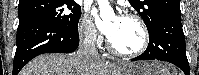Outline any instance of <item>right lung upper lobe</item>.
<instances>
[{"mask_svg": "<svg viewBox=\"0 0 199 75\" xmlns=\"http://www.w3.org/2000/svg\"><path fill=\"white\" fill-rule=\"evenodd\" d=\"M23 1H25V0H20L19 3H20V2H23Z\"/></svg>", "mask_w": 199, "mask_h": 75, "instance_id": "obj_1", "label": "right lung upper lobe"}]
</instances>
